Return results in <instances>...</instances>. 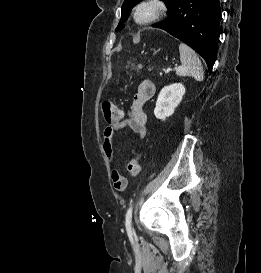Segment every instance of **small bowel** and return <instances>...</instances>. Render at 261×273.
Masks as SVG:
<instances>
[{
	"mask_svg": "<svg viewBox=\"0 0 261 273\" xmlns=\"http://www.w3.org/2000/svg\"><path fill=\"white\" fill-rule=\"evenodd\" d=\"M156 92L155 84L148 80L144 79L140 82L136 95L134 96L132 105L127 112L126 117L109 125L104 131V144L103 149L105 155L110 164L114 165L116 163V156L114 152V136L117 132L129 128L132 133L138 138H144L146 135V123H147V114L145 110L146 103L153 98ZM111 179L115 190H119L116 187V183L119 179L123 180L125 187L127 185L126 178L117 170L113 169L111 172Z\"/></svg>",
	"mask_w": 261,
	"mask_h": 273,
	"instance_id": "small-bowel-1",
	"label": "small bowel"
}]
</instances>
